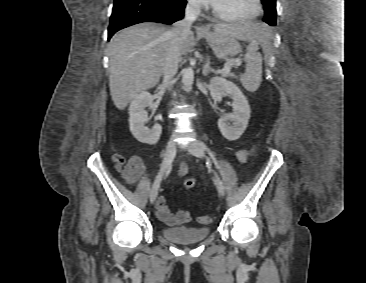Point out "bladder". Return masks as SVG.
<instances>
[{
  "instance_id": "bladder-1",
  "label": "bladder",
  "mask_w": 366,
  "mask_h": 283,
  "mask_svg": "<svg viewBox=\"0 0 366 283\" xmlns=\"http://www.w3.org/2000/svg\"><path fill=\"white\" fill-rule=\"evenodd\" d=\"M159 233L168 241L177 244H192L205 240L211 233L207 226L203 227H160Z\"/></svg>"
}]
</instances>
